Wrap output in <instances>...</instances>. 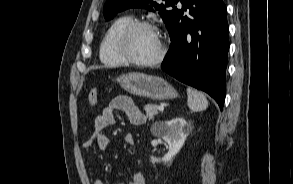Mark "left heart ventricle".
Masks as SVG:
<instances>
[{"instance_id": "1", "label": "left heart ventricle", "mask_w": 293, "mask_h": 184, "mask_svg": "<svg viewBox=\"0 0 293 184\" xmlns=\"http://www.w3.org/2000/svg\"><path fill=\"white\" fill-rule=\"evenodd\" d=\"M160 44L156 33L148 28H138L128 37L126 49L137 60H151L159 52Z\"/></svg>"}]
</instances>
